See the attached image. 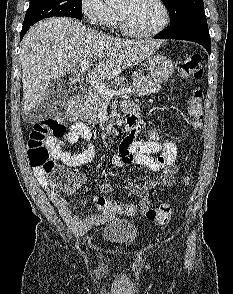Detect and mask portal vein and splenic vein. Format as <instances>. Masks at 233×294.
<instances>
[{
    "mask_svg": "<svg viewBox=\"0 0 233 294\" xmlns=\"http://www.w3.org/2000/svg\"><path fill=\"white\" fill-rule=\"evenodd\" d=\"M90 65L91 63L89 60H84L80 65L81 71L85 73L89 69ZM87 79L89 80V83L94 87V89H96L97 92L101 93L106 98H112L114 95H128L132 92L131 88H122L118 91H115L92 76H89Z\"/></svg>",
    "mask_w": 233,
    "mask_h": 294,
    "instance_id": "portal-vein-and-splenic-vein-1",
    "label": "portal vein and splenic vein"
}]
</instances>
